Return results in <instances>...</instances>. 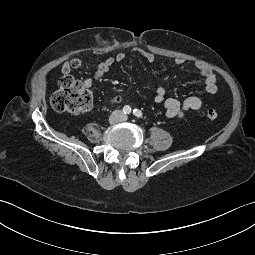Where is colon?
I'll list each match as a JSON object with an SVG mask.
<instances>
[{"label":"colon","instance_id":"1","mask_svg":"<svg viewBox=\"0 0 255 255\" xmlns=\"http://www.w3.org/2000/svg\"><path fill=\"white\" fill-rule=\"evenodd\" d=\"M50 103L58 112L80 114L91 109L93 95L81 81L66 75L59 79L58 89L51 95ZM205 115L211 121L217 120L219 116L218 112L211 107L206 109Z\"/></svg>","mask_w":255,"mask_h":255}]
</instances>
